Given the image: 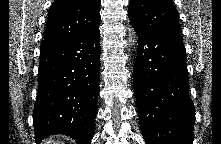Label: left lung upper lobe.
Masks as SVG:
<instances>
[{
    "mask_svg": "<svg viewBox=\"0 0 221 144\" xmlns=\"http://www.w3.org/2000/svg\"><path fill=\"white\" fill-rule=\"evenodd\" d=\"M128 15L142 31L181 39L178 12L172 0H131Z\"/></svg>",
    "mask_w": 221,
    "mask_h": 144,
    "instance_id": "1",
    "label": "left lung upper lobe"
}]
</instances>
